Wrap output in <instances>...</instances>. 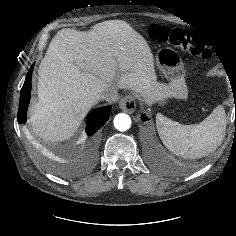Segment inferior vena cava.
Here are the masks:
<instances>
[{"label": "inferior vena cava", "mask_w": 236, "mask_h": 236, "mask_svg": "<svg viewBox=\"0 0 236 236\" xmlns=\"http://www.w3.org/2000/svg\"><path fill=\"white\" fill-rule=\"evenodd\" d=\"M101 98L108 102H115L119 100V95L115 90H108L102 94Z\"/></svg>", "instance_id": "inferior-vena-cava-1"}]
</instances>
